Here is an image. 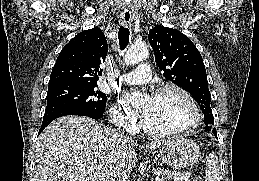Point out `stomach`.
<instances>
[{"mask_svg": "<svg viewBox=\"0 0 259 181\" xmlns=\"http://www.w3.org/2000/svg\"><path fill=\"white\" fill-rule=\"evenodd\" d=\"M200 156L199 146L185 139H171L163 143L157 158L161 164L173 169H186Z\"/></svg>", "mask_w": 259, "mask_h": 181, "instance_id": "0dacf381", "label": "stomach"}]
</instances>
